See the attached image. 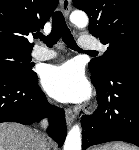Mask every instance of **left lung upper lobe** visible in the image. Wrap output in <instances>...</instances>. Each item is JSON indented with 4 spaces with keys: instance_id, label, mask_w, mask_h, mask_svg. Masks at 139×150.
I'll return each instance as SVG.
<instances>
[{
    "instance_id": "5c2ea615",
    "label": "left lung upper lobe",
    "mask_w": 139,
    "mask_h": 150,
    "mask_svg": "<svg viewBox=\"0 0 139 150\" xmlns=\"http://www.w3.org/2000/svg\"><path fill=\"white\" fill-rule=\"evenodd\" d=\"M73 2L89 16V32L107 45V51L88 65L92 73L105 81L121 57L139 49V0Z\"/></svg>"
}]
</instances>
